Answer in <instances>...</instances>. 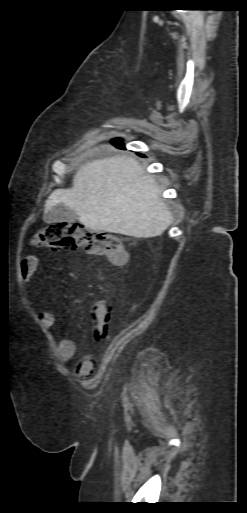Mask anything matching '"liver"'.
Masks as SVG:
<instances>
[{
    "label": "liver",
    "instance_id": "liver-1",
    "mask_svg": "<svg viewBox=\"0 0 247 513\" xmlns=\"http://www.w3.org/2000/svg\"><path fill=\"white\" fill-rule=\"evenodd\" d=\"M61 203L94 231L149 238L160 235L172 223L155 179L131 156L119 155L81 166L72 187L56 189L48 197L45 222V216Z\"/></svg>",
    "mask_w": 247,
    "mask_h": 513
}]
</instances>
